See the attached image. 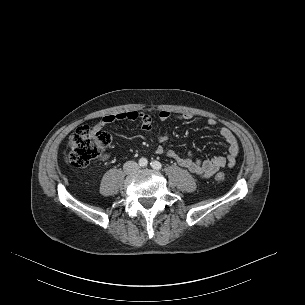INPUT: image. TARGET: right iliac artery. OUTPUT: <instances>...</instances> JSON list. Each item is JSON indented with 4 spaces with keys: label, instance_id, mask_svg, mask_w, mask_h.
<instances>
[{
    "label": "right iliac artery",
    "instance_id": "82829eb1",
    "mask_svg": "<svg viewBox=\"0 0 305 305\" xmlns=\"http://www.w3.org/2000/svg\"><path fill=\"white\" fill-rule=\"evenodd\" d=\"M147 164H148L147 159L141 158V159L139 160V165H140L141 167H145V166H147Z\"/></svg>",
    "mask_w": 305,
    "mask_h": 305
}]
</instances>
